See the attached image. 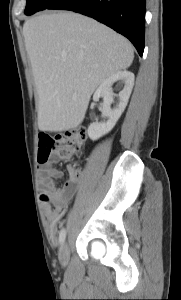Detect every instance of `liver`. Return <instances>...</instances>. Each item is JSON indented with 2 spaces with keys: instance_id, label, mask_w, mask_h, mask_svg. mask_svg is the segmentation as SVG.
<instances>
[{
  "instance_id": "liver-1",
  "label": "liver",
  "mask_w": 181,
  "mask_h": 300,
  "mask_svg": "<svg viewBox=\"0 0 181 300\" xmlns=\"http://www.w3.org/2000/svg\"><path fill=\"white\" fill-rule=\"evenodd\" d=\"M23 35L39 98L41 131L78 127L95 89L127 69L134 58L125 37L70 11L46 12L27 20Z\"/></svg>"
}]
</instances>
